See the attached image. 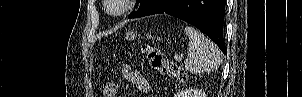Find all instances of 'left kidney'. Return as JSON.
I'll return each instance as SVG.
<instances>
[{
	"instance_id": "left-kidney-1",
	"label": "left kidney",
	"mask_w": 302,
	"mask_h": 97,
	"mask_svg": "<svg viewBox=\"0 0 302 97\" xmlns=\"http://www.w3.org/2000/svg\"><path fill=\"white\" fill-rule=\"evenodd\" d=\"M174 97H206V94L202 90L189 88L176 93Z\"/></svg>"
}]
</instances>
